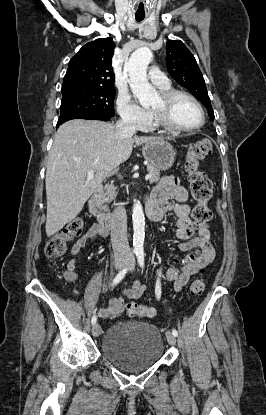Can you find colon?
I'll return each mask as SVG.
<instances>
[{"mask_svg": "<svg viewBox=\"0 0 266 415\" xmlns=\"http://www.w3.org/2000/svg\"><path fill=\"white\" fill-rule=\"evenodd\" d=\"M212 152V143L209 139H202L192 144L186 156L185 168L188 173L190 190L195 205L192 217L196 226H207L212 219V211L208 202L212 197V182L200 169V162ZM82 218L72 219L59 233L51 237L45 245L44 252L49 258H57L65 254L67 245L78 237L83 230ZM205 288L202 276L195 278L190 285L192 295H200ZM127 313L132 317H153L155 310L152 307L138 303H128Z\"/></svg>", "mask_w": 266, "mask_h": 415, "instance_id": "1", "label": "colon"}]
</instances>
